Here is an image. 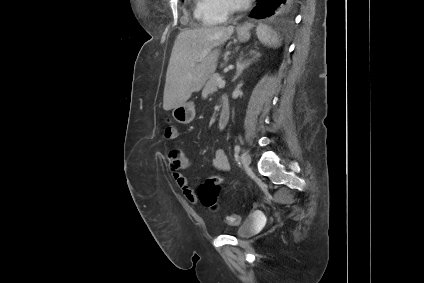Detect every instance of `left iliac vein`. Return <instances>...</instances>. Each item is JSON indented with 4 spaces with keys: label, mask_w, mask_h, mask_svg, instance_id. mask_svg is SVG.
Wrapping results in <instances>:
<instances>
[{
    "label": "left iliac vein",
    "mask_w": 424,
    "mask_h": 283,
    "mask_svg": "<svg viewBox=\"0 0 424 283\" xmlns=\"http://www.w3.org/2000/svg\"><path fill=\"white\" fill-rule=\"evenodd\" d=\"M241 162L242 164L247 167L251 163V156L247 151L242 152L241 154Z\"/></svg>",
    "instance_id": "left-iliac-vein-1"
}]
</instances>
